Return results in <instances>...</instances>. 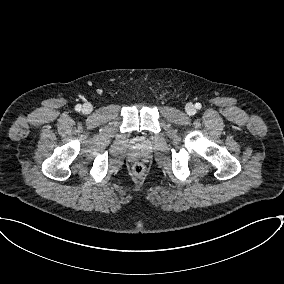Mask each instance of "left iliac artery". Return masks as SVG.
Here are the masks:
<instances>
[{
	"mask_svg": "<svg viewBox=\"0 0 284 284\" xmlns=\"http://www.w3.org/2000/svg\"><path fill=\"white\" fill-rule=\"evenodd\" d=\"M195 107H196L197 109H200V108H201V104H200V103H196V104H195Z\"/></svg>",
	"mask_w": 284,
	"mask_h": 284,
	"instance_id": "44dca946",
	"label": "left iliac artery"
}]
</instances>
